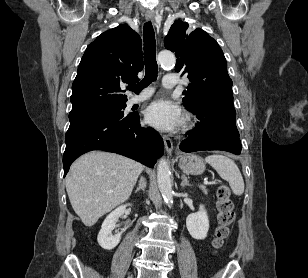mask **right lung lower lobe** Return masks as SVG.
<instances>
[{
    "instance_id": "right-lung-lower-lobe-1",
    "label": "right lung lower lobe",
    "mask_w": 308,
    "mask_h": 278,
    "mask_svg": "<svg viewBox=\"0 0 308 278\" xmlns=\"http://www.w3.org/2000/svg\"><path fill=\"white\" fill-rule=\"evenodd\" d=\"M65 142L64 177L71 163L88 151L115 152L153 167L164 149L163 140L154 129L140 127L138 114L116 118L86 115L71 119Z\"/></svg>"
}]
</instances>
